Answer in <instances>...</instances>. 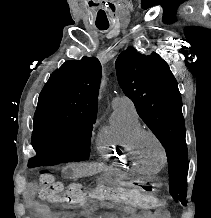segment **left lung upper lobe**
<instances>
[{"label":"left lung upper lobe","instance_id":"left-lung-upper-lobe-1","mask_svg":"<svg viewBox=\"0 0 211 218\" xmlns=\"http://www.w3.org/2000/svg\"><path fill=\"white\" fill-rule=\"evenodd\" d=\"M116 71L123 92L166 150L170 194L185 202L189 164L182 100L175 77L157 53L146 56L133 47L118 56Z\"/></svg>","mask_w":211,"mask_h":218}]
</instances>
